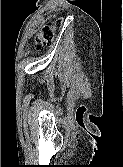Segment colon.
<instances>
[{
	"mask_svg": "<svg viewBox=\"0 0 123 167\" xmlns=\"http://www.w3.org/2000/svg\"><path fill=\"white\" fill-rule=\"evenodd\" d=\"M62 24L60 18H55L52 22L44 25L35 38L36 47H43L53 42L57 28Z\"/></svg>",
	"mask_w": 123,
	"mask_h": 167,
	"instance_id": "1",
	"label": "colon"
}]
</instances>
